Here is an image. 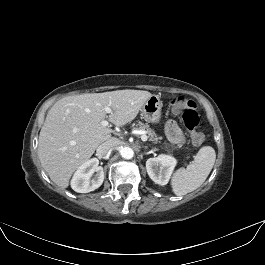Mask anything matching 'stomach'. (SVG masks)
<instances>
[{
  "instance_id": "1",
  "label": "stomach",
  "mask_w": 265,
  "mask_h": 265,
  "mask_svg": "<svg viewBox=\"0 0 265 265\" xmlns=\"http://www.w3.org/2000/svg\"><path fill=\"white\" fill-rule=\"evenodd\" d=\"M162 106L160 97L152 95L141 108L144 119L150 123H158L162 115Z\"/></svg>"
}]
</instances>
